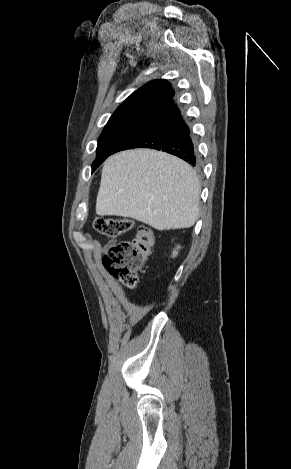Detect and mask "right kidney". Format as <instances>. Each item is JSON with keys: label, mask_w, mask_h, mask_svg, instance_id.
I'll list each match as a JSON object with an SVG mask.
<instances>
[{"label": "right kidney", "mask_w": 291, "mask_h": 469, "mask_svg": "<svg viewBox=\"0 0 291 469\" xmlns=\"http://www.w3.org/2000/svg\"><path fill=\"white\" fill-rule=\"evenodd\" d=\"M177 248H179V247H177ZM176 255H177V252H176V251H174V252H173V256H176Z\"/></svg>", "instance_id": "1"}]
</instances>
